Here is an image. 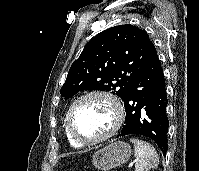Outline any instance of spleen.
<instances>
[{"label": "spleen", "mask_w": 199, "mask_h": 171, "mask_svg": "<svg viewBox=\"0 0 199 171\" xmlns=\"http://www.w3.org/2000/svg\"><path fill=\"white\" fill-rule=\"evenodd\" d=\"M130 141L134 143L135 171H149L157 168L159 158L155 148L151 144L136 138H131Z\"/></svg>", "instance_id": "1"}]
</instances>
